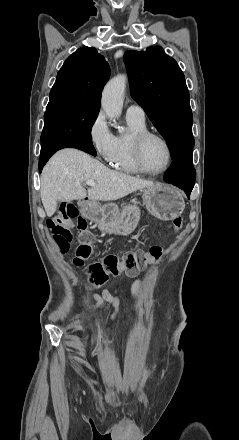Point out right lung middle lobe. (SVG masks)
Listing matches in <instances>:
<instances>
[{
	"instance_id": "1",
	"label": "right lung middle lobe",
	"mask_w": 239,
	"mask_h": 440,
	"mask_svg": "<svg viewBox=\"0 0 239 440\" xmlns=\"http://www.w3.org/2000/svg\"><path fill=\"white\" fill-rule=\"evenodd\" d=\"M98 111L77 109L63 104L48 105L44 114L41 150L70 138L85 139L92 143L91 129Z\"/></svg>"
}]
</instances>
